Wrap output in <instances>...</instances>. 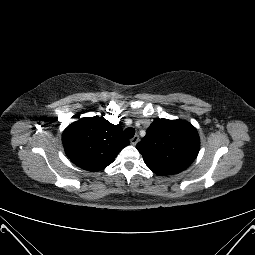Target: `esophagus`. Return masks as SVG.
<instances>
[{"instance_id": "34e87169", "label": "esophagus", "mask_w": 255, "mask_h": 255, "mask_svg": "<svg viewBox=\"0 0 255 255\" xmlns=\"http://www.w3.org/2000/svg\"><path fill=\"white\" fill-rule=\"evenodd\" d=\"M139 141V136L135 135L131 140H130V143L132 145H136Z\"/></svg>"}]
</instances>
